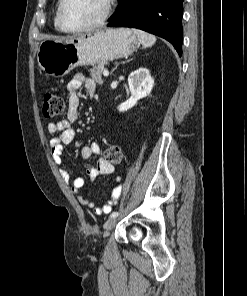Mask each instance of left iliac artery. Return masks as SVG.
Returning <instances> with one entry per match:
<instances>
[{"mask_svg":"<svg viewBox=\"0 0 247 296\" xmlns=\"http://www.w3.org/2000/svg\"><path fill=\"white\" fill-rule=\"evenodd\" d=\"M119 215V212H113L110 217H117Z\"/></svg>","mask_w":247,"mask_h":296,"instance_id":"obj_1","label":"left iliac artery"}]
</instances>
